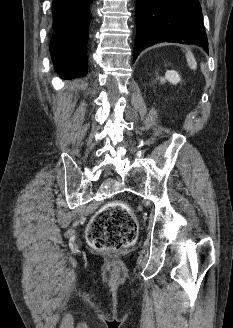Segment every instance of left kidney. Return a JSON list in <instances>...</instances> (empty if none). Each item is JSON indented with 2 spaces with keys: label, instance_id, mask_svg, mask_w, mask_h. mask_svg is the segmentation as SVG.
<instances>
[{
  "label": "left kidney",
  "instance_id": "1",
  "mask_svg": "<svg viewBox=\"0 0 233 328\" xmlns=\"http://www.w3.org/2000/svg\"><path fill=\"white\" fill-rule=\"evenodd\" d=\"M166 80L172 84H177L178 82H180L181 78L177 71L168 70L165 73V77L161 79V82H165Z\"/></svg>",
  "mask_w": 233,
  "mask_h": 328
}]
</instances>
